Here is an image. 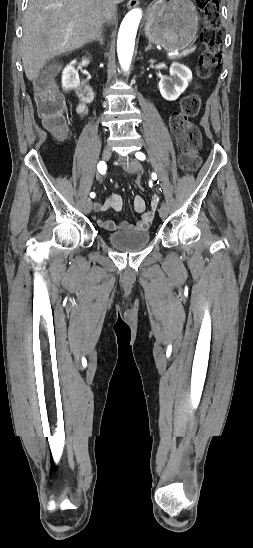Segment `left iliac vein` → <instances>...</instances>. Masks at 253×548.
<instances>
[{"mask_svg": "<svg viewBox=\"0 0 253 548\" xmlns=\"http://www.w3.org/2000/svg\"><path fill=\"white\" fill-rule=\"evenodd\" d=\"M123 166L125 167L126 170L132 173L140 171L142 169V166L137 159L129 158V157L123 160ZM167 214H168L167 206L163 203L159 209V215L161 218H165Z\"/></svg>", "mask_w": 253, "mask_h": 548, "instance_id": "left-iliac-vein-1", "label": "left iliac vein"}]
</instances>
